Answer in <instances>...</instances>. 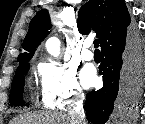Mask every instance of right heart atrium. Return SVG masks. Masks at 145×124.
<instances>
[{
  "instance_id": "obj_1",
  "label": "right heart atrium",
  "mask_w": 145,
  "mask_h": 124,
  "mask_svg": "<svg viewBox=\"0 0 145 124\" xmlns=\"http://www.w3.org/2000/svg\"><path fill=\"white\" fill-rule=\"evenodd\" d=\"M41 97L50 108L63 109L79 103L83 90L73 69L49 60L39 66Z\"/></svg>"
}]
</instances>
